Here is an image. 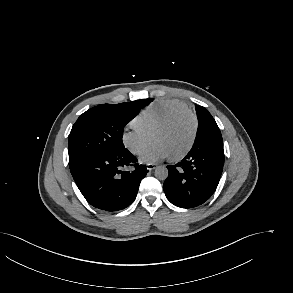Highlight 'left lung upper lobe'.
<instances>
[{"label": "left lung upper lobe", "mask_w": 293, "mask_h": 293, "mask_svg": "<svg viewBox=\"0 0 293 293\" xmlns=\"http://www.w3.org/2000/svg\"><path fill=\"white\" fill-rule=\"evenodd\" d=\"M198 118V133L195 142L207 139H216L223 142L220 129L208 110L202 106L196 107Z\"/></svg>", "instance_id": "1"}]
</instances>
